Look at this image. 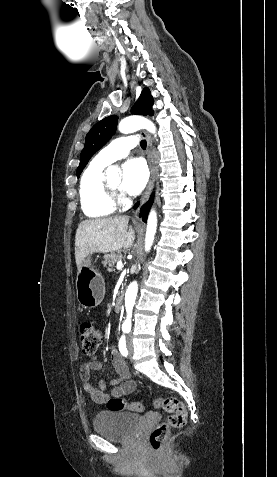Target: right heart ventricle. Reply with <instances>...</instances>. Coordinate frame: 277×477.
Here are the masks:
<instances>
[{"label": "right heart ventricle", "mask_w": 277, "mask_h": 477, "mask_svg": "<svg viewBox=\"0 0 277 477\" xmlns=\"http://www.w3.org/2000/svg\"><path fill=\"white\" fill-rule=\"evenodd\" d=\"M107 164L93 159L84 170L79 185L80 205L89 218H101L111 215L115 204L107 199L102 183Z\"/></svg>", "instance_id": "right-heart-ventricle-1"}]
</instances>
